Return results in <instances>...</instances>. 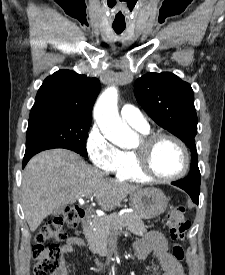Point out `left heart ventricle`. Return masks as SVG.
I'll return each instance as SVG.
<instances>
[{"mask_svg": "<svg viewBox=\"0 0 225 275\" xmlns=\"http://www.w3.org/2000/svg\"><path fill=\"white\" fill-rule=\"evenodd\" d=\"M183 163L184 158L181 149L170 140L160 141L151 155L152 167L159 175H174L181 170Z\"/></svg>", "mask_w": 225, "mask_h": 275, "instance_id": "obj_1", "label": "left heart ventricle"}]
</instances>
